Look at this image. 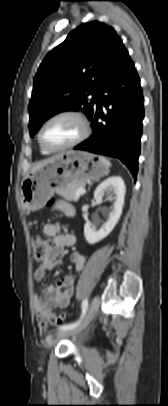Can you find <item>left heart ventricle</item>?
Returning a JSON list of instances; mask_svg holds the SVG:
<instances>
[{"instance_id":"1","label":"left heart ventricle","mask_w":168,"mask_h":406,"mask_svg":"<svg viewBox=\"0 0 168 406\" xmlns=\"http://www.w3.org/2000/svg\"><path fill=\"white\" fill-rule=\"evenodd\" d=\"M81 132L79 122L72 117H62L50 122L43 131L46 144L64 146L76 139Z\"/></svg>"}]
</instances>
